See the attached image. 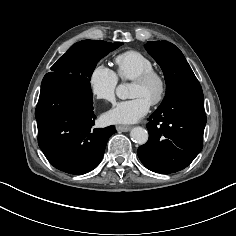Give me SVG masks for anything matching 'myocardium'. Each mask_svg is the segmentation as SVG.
Segmentation results:
<instances>
[{
	"instance_id": "obj_1",
	"label": "myocardium",
	"mask_w": 236,
	"mask_h": 236,
	"mask_svg": "<svg viewBox=\"0 0 236 236\" xmlns=\"http://www.w3.org/2000/svg\"><path fill=\"white\" fill-rule=\"evenodd\" d=\"M152 81H156L158 83L159 89L155 96V98L151 101V105L155 106L160 104L163 99L165 98V95L167 93V79L163 72L160 70H157L155 68L146 70L139 74L137 77L133 79L134 83L138 84H148Z\"/></svg>"
}]
</instances>
